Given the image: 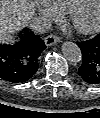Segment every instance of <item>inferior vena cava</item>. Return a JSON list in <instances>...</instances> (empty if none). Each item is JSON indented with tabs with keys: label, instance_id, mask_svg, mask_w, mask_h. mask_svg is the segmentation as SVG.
<instances>
[{
	"label": "inferior vena cava",
	"instance_id": "1",
	"mask_svg": "<svg viewBox=\"0 0 100 118\" xmlns=\"http://www.w3.org/2000/svg\"><path fill=\"white\" fill-rule=\"evenodd\" d=\"M31 28L38 33H45L51 30L52 24L49 19L38 17L31 23Z\"/></svg>",
	"mask_w": 100,
	"mask_h": 118
}]
</instances>
